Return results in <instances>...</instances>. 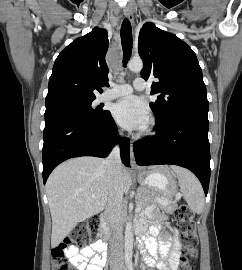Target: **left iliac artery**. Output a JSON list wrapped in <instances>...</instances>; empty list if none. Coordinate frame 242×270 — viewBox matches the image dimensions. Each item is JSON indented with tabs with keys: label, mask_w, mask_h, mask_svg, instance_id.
Listing matches in <instances>:
<instances>
[{
	"label": "left iliac artery",
	"mask_w": 242,
	"mask_h": 270,
	"mask_svg": "<svg viewBox=\"0 0 242 270\" xmlns=\"http://www.w3.org/2000/svg\"><path fill=\"white\" fill-rule=\"evenodd\" d=\"M129 270H133L132 266L129 267Z\"/></svg>",
	"instance_id": "left-iliac-artery-1"
}]
</instances>
